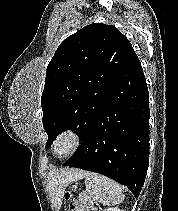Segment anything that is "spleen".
<instances>
[{
	"mask_svg": "<svg viewBox=\"0 0 178 211\" xmlns=\"http://www.w3.org/2000/svg\"><path fill=\"white\" fill-rule=\"evenodd\" d=\"M85 186L90 197L103 206L120 204L124 200L121 186L110 178L94 172H85Z\"/></svg>",
	"mask_w": 178,
	"mask_h": 211,
	"instance_id": "obj_1",
	"label": "spleen"
}]
</instances>
